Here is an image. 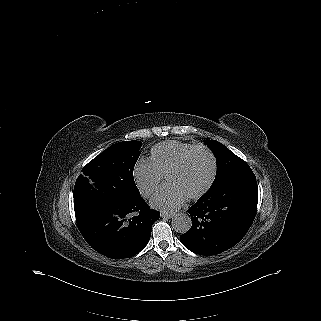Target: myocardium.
I'll use <instances>...</instances> for the list:
<instances>
[{"label":"myocardium","mask_w":321,"mask_h":321,"mask_svg":"<svg viewBox=\"0 0 321 321\" xmlns=\"http://www.w3.org/2000/svg\"><path fill=\"white\" fill-rule=\"evenodd\" d=\"M198 152H205L212 163V171L211 174L209 176V178L207 179V181L200 186L199 188L193 190V191H184L182 189H180L175 183L174 180L187 168H189L190 166V162L192 160V158L198 153ZM216 173H217V163H216V159L212 153V151L205 147V146H198L195 149H193L188 156L182 161L180 162L167 176H166V181L171 184V185H175L186 197L188 198H196L199 197L200 195H202L203 193H205L213 184L215 178H216Z\"/></svg>","instance_id":"myocardium-1"}]
</instances>
